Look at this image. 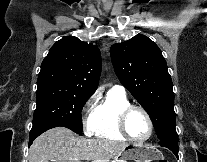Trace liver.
I'll return each mask as SVG.
<instances>
[{
  "label": "liver",
  "instance_id": "6515ba94",
  "mask_svg": "<svg viewBox=\"0 0 207 162\" xmlns=\"http://www.w3.org/2000/svg\"><path fill=\"white\" fill-rule=\"evenodd\" d=\"M128 145L108 139L76 137L64 127L52 128L41 134L29 149V162L105 161L117 157Z\"/></svg>",
  "mask_w": 207,
  "mask_h": 162
}]
</instances>
